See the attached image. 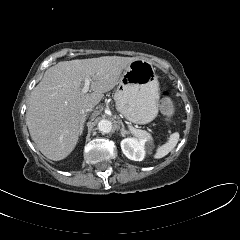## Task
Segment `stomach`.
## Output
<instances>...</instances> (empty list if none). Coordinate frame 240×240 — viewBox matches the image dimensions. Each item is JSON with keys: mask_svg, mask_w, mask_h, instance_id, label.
Segmentation results:
<instances>
[{"mask_svg": "<svg viewBox=\"0 0 240 240\" xmlns=\"http://www.w3.org/2000/svg\"><path fill=\"white\" fill-rule=\"evenodd\" d=\"M159 82L153 65L144 59L131 62L114 93L117 110L130 122L146 124L158 115Z\"/></svg>", "mask_w": 240, "mask_h": 240, "instance_id": "obj_1", "label": "stomach"}]
</instances>
